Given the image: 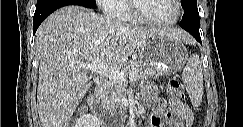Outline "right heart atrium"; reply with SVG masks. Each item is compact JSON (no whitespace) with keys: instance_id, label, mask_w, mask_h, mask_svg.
Segmentation results:
<instances>
[{"instance_id":"1","label":"right heart atrium","mask_w":243,"mask_h":127,"mask_svg":"<svg viewBox=\"0 0 243 127\" xmlns=\"http://www.w3.org/2000/svg\"><path fill=\"white\" fill-rule=\"evenodd\" d=\"M117 0H97V5L101 8V10L107 14L114 16L116 15L117 11L115 8V3H117Z\"/></svg>"}]
</instances>
